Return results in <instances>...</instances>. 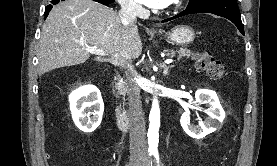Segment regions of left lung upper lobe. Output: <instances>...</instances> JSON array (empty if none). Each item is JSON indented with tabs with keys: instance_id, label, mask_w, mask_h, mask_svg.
<instances>
[{
	"instance_id": "left-lung-upper-lobe-1",
	"label": "left lung upper lobe",
	"mask_w": 277,
	"mask_h": 166,
	"mask_svg": "<svg viewBox=\"0 0 277 166\" xmlns=\"http://www.w3.org/2000/svg\"><path fill=\"white\" fill-rule=\"evenodd\" d=\"M210 1H214V0H190L187 8H192ZM225 1L236 2L237 0H225Z\"/></svg>"
}]
</instances>
